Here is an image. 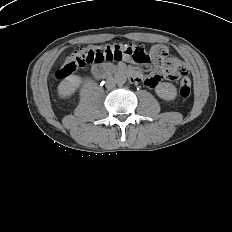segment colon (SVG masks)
Returning <instances> with one entry per match:
<instances>
[{
	"mask_svg": "<svg viewBox=\"0 0 232 232\" xmlns=\"http://www.w3.org/2000/svg\"><path fill=\"white\" fill-rule=\"evenodd\" d=\"M150 58L161 63L160 66L164 70V78L178 80L180 96L188 98L191 93V80L188 72L185 68L176 66L174 60L169 58L167 48L163 45L155 46L150 56L143 48L132 46L111 45L82 48L63 61L60 68L55 72V77L63 79L77 69L85 68L92 63L127 59L137 64H144L149 62Z\"/></svg>",
	"mask_w": 232,
	"mask_h": 232,
	"instance_id": "obj_1",
	"label": "colon"
}]
</instances>
